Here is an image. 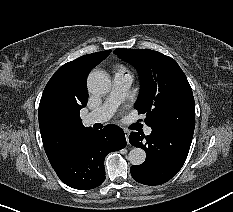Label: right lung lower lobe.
Returning <instances> with one entry per match:
<instances>
[{
    "label": "right lung lower lobe",
    "instance_id": "1",
    "mask_svg": "<svg viewBox=\"0 0 233 212\" xmlns=\"http://www.w3.org/2000/svg\"><path fill=\"white\" fill-rule=\"evenodd\" d=\"M125 146L120 127L110 124L103 130L90 128L78 137L65 158L52 167L66 185L79 190L92 189L105 180V156Z\"/></svg>",
    "mask_w": 233,
    "mask_h": 212
}]
</instances>
